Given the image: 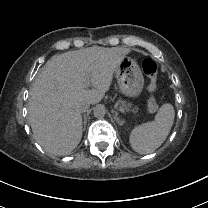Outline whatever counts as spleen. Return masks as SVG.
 I'll list each match as a JSON object with an SVG mask.
<instances>
[{
	"mask_svg": "<svg viewBox=\"0 0 208 208\" xmlns=\"http://www.w3.org/2000/svg\"><path fill=\"white\" fill-rule=\"evenodd\" d=\"M174 107L163 104L155 120L136 126L130 134L131 147L139 154H149L159 148L166 140L174 122Z\"/></svg>",
	"mask_w": 208,
	"mask_h": 208,
	"instance_id": "3e777b00",
	"label": "spleen"
}]
</instances>
